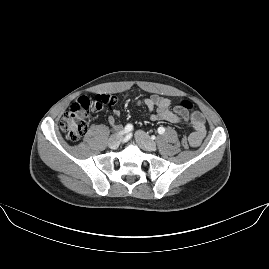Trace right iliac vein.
Instances as JSON below:
<instances>
[{"instance_id": "right-iliac-vein-1", "label": "right iliac vein", "mask_w": 269, "mask_h": 269, "mask_svg": "<svg viewBox=\"0 0 269 269\" xmlns=\"http://www.w3.org/2000/svg\"><path fill=\"white\" fill-rule=\"evenodd\" d=\"M121 143V136L116 135V136H112L109 141H108V146L111 149H116Z\"/></svg>"}]
</instances>
